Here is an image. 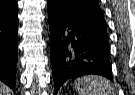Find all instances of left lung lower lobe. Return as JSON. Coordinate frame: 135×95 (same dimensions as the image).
Here are the masks:
<instances>
[{
  "mask_svg": "<svg viewBox=\"0 0 135 95\" xmlns=\"http://www.w3.org/2000/svg\"><path fill=\"white\" fill-rule=\"evenodd\" d=\"M50 59L55 93L68 79L97 74L111 81L107 29L93 26L48 7Z\"/></svg>",
  "mask_w": 135,
  "mask_h": 95,
  "instance_id": "1",
  "label": "left lung lower lobe"
}]
</instances>
